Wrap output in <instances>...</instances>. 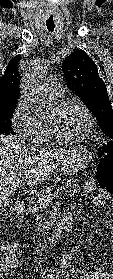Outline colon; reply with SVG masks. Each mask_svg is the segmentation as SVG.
Returning <instances> with one entry per match:
<instances>
[{
    "instance_id": "obj_1",
    "label": "colon",
    "mask_w": 113,
    "mask_h": 279,
    "mask_svg": "<svg viewBox=\"0 0 113 279\" xmlns=\"http://www.w3.org/2000/svg\"><path fill=\"white\" fill-rule=\"evenodd\" d=\"M100 162L97 167L96 180L101 192L113 195V144L102 145L98 149ZM3 250H2V249ZM21 254L16 248L4 249L0 243V276L6 265L19 262Z\"/></svg>"
}]
</instances>
